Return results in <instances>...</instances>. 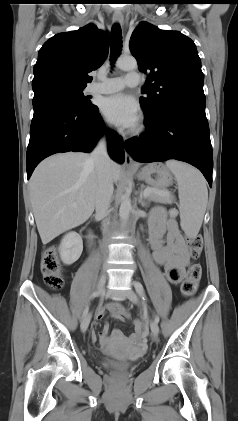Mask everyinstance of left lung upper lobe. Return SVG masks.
Instances as JSON below:
<instances>
[{
  "label": "left lung upper lobe",
  "mask_w": 238,
  "mask_h": 421,
  "mask_svg": "<svg viewBox=\"0 0 238 421\" xmlns=\"http://www.w3.org/2000/svg\"><path fill=\"white\" fill-rule=\"evenodd\" d=\"M130 50L141 71L149 73L141 107L154 118L170 102L188 95H204V75L194 42L178 31L140 23L130 38Z\"/></svg>",
  "instance_id": "5c2ea615"
}]
</instances>
